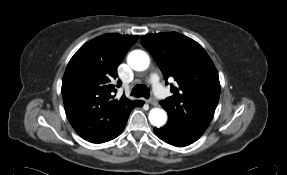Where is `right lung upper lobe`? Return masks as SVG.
Masks as SVG:
<instances>
[{
  "instance_id": "obj_1",
  "label": "right lung upper lobe",
  "mask_w": 287,
  "mask_h": 175,
  "mask_svg": "<svg viewBox=\"0 0 287 175\" xmlns=\"http://www.w3.org/2000/svg\"><path fill=\"white\" fill-rule=\"evenodd\" d=\"M138 38L99 36L82 46L68 63L62 82L63 102L70 124L83 139L100 141L142 102L113 96L117 92V67ZM117 83L121 85L120 80Z\"/></svg>"
}]
</instances>
